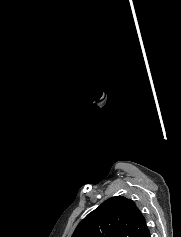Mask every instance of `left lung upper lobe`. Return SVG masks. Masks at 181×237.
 <instances>
[{
	"instance_id": "left-lung-upper-lobe-1",
	"label": "left lung upper lobe",
	"mask_w": 181,
	"mask_h": 237,
	"mask_svg": "<svg viewBox=\"0 0 181 237\" xmlns=\"http://www.w3.org/2000/svg\"><path fill=\"white\" fill-rule=\"evenodd\" d=\"M146 229L145 218L135 203L115 196L88 214L72 237H141Z\"/></svg>"
}]
</instances>
